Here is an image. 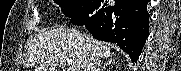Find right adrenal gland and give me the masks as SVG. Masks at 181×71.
Instances as JSON below:
<instances>
[{"label":"right adrenal gland","instance_id":"1","mask_svg":"<svg viewBox=\"0 0 181 71\" xmlns=\"http://www.w3.org/2000/svg\"><path fill=\"white\" fill-rule=\"evenodd\" d=\"M111 64H115L114 59H110L109 61L105 62L102 69H101V71H105L106 68H108Z\"/></svg>","mask_w":181,"mask_h":71}]
</instances>
